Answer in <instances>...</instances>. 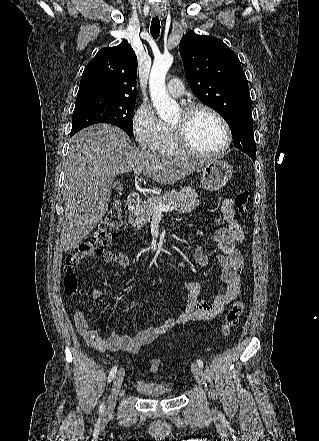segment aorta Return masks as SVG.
Here are the masks:
<instances>
[{
	"label": "aorta",
	"mask_w": 319,
	"mask_h": 441,
	"mask_svg": "<svg viewBox=\"0 0 319 441\" xmlns=\"http://www.w3.org/2000/svg\"><path fill=\"white\" fill-rule=\"evenodd\" d=\"M172 63L173 57L170 54L156 58L149 78L150 96L157 114L163 120L171 119L178 109L177 103L169 97L165 86V77Z\"/></svg>",
	"instance_id": "aorta-1"
}]
</instances>
